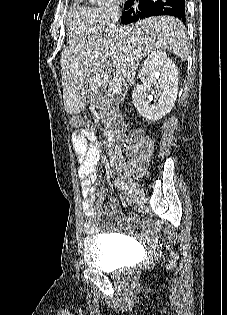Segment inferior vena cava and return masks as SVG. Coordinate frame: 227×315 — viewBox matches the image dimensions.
I'll use <instances>...</instances> for the list:
<instances>
[{
  "label": "inferior vena cava",
  "instance_id": "602c4592",
  "mask_svg": "<svg viewBox=\"0 0 227 315\" xmlns=\"http://www.w3.org/2000/svg\"><path fill=\"white\" fill-rule=\"evenodd\" d=\"M120 18V10L117 7H113L111 11V23L107 28L106 32H115L117 30L116 23ZM123 82V81H122ZM125 98V94L123 93L119 100L122 102Z\"/></svg>",
  "mask_w": 227,
  "mask_h": 315
}]
</instances>
